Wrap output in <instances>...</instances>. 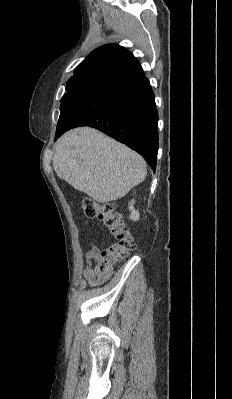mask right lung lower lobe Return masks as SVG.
Masks as SVG:
<instances>
[{
	"label": "right lung lower lobe",
	"instance_id": "1",
	"mask_svg": "<svg viewBox=\"0 0 232 399\" xmlns=\"http://www.w3.org/2000/svg\"><path fill=\"white\" fill-rule=\"evenodd\" d=\"M60 112L55 140L69 129L90 126L137 151L155 171L158 113L140 64L89 88Z\"/></svg>",
	"mask_w": 232,
	"mask_h": 399
}]
</instances>
